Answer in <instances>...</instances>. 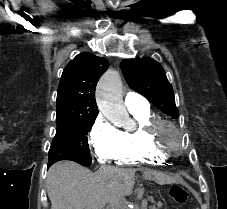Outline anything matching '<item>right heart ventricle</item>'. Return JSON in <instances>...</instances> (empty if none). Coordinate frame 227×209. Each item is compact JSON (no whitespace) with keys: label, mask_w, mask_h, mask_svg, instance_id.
Returning a JSON list of instances; mask_svg holds the SVG:
<instances>
[{"label":"right heart ventricle","mask_w":227,"mask_h":209,"mask_svg":"<svg viewBox=\"0 0 227 209\" xmlns=\"http://www.w3.org/2000/svg\"><path fill=\"white\" fill-rule=\"evenodd\" d=\"M129 112L136 123V128L121 131V143L113 160L118 165L126 166L164 162L168 156L151 147L143 135V126L156 116L148 106L131 108Z\"/></svg>","instance_id":"1"}]
</instances>
